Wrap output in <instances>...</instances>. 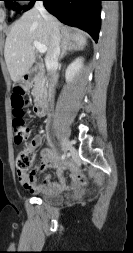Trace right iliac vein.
Instances as JSON below:
<instances>
[{"label":"right iliac vein","mask_w":133,"mask_h":253,"mask_svg":"<svg viewBox=\"0 0 133 253\" xmlns=\"http://www.w3.org/2000/svg\"><path fill=\"white\" fill-rule=\"evenodd\" d=\"M70 146H71L70 141L67 138H64L62 142L63 152L66 153L69 150Z\"/></svg>","instance_id":"obj_1"}]
</instances>
